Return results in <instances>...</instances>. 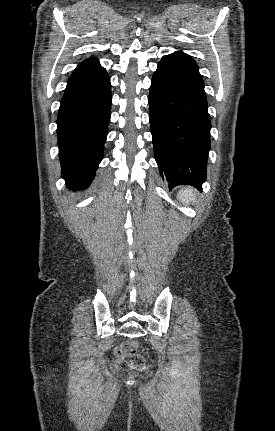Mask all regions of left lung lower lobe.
Here are the masks:
<instances>
[{"label": "left lung lower lobe", "instance_id": "obj_1", "mask_svg": "<svg viewBox=\"0 0 275 431\" xmlns=\"http://www.w3.org/2000/svg\"><path fill=\"white\" fill-rule=\"evenodd\" d=\"M196 62L183 52L164 56L154 72L149 118L155 159L169 187L201 190L210 149V118Z\"/></svg>", "mask_w": 275, "mask_h": 431}]
</instances>
